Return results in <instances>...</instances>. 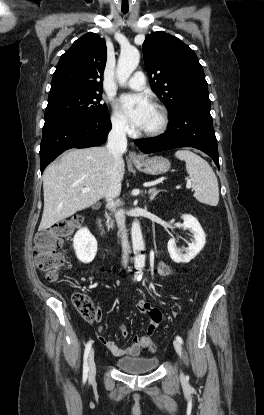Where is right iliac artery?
<instances>
[{
  "label": "right iliac artery",
  "instance_id": "right-iliac-artery-1",
  "mask_svg": "<svg viewBox=\"0 0 264 415\" xmlns=\"http://www.w3.org/2000/svg\"><path fill=\"white\" fill-rule=\"evenodd\" d=\"M91 346H92V341H89L85 347V351H84V361H83V382L85 383L88 377V371H89V367H88V355L90 353L91 350Z\"/></svg>",
  "mask_w": 264,
  "mask_h": 415
}]
</instances>
